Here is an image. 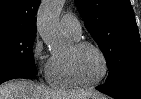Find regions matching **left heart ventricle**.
I'll use <instances>...</instances> for the list:
<instances>
[{
  "instance_id": "left-heart-ventricle-1",
  "label": "left heart ventricle",
  "mask_w": 141,
  "mask_h": 99,
  "mask_svg": "<svg viewBox=\"0 0 141 99\" xmlns=\"http://www.w3.org/2000/svg\"><path fill=\"white\" fill-rule=\"evenodd\" d=\"M71 55L74 56L77 73L83 81L92 82L102 75L103 62L95 49L85 47L74 53L71 48L67 56Z\"/></svg>"
}]
</instances>
